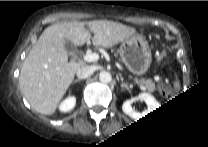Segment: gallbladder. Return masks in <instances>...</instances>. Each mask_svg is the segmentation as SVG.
<instances>
[{
	"instance_id": "obj_1",
	"label": "gallbladder",
	"mask_w": 208,
	"mask_h": 147,
	"mask_svg": "<svg viewBox=\"0 0 208 147\" xmlns=\"http://www.w3.org/2000/svg\"><path fill=\"white\" fill-rule=\"evenodd\" d=\"M72 50V48H69V51H71Z\"/></svg>"
}]
</instances>
